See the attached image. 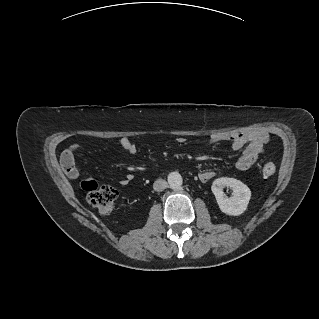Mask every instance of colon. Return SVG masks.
Listing matches in <instances>:
<instances>
[{
	"label": "colon",
	"instance_id": "obj_1",
	"mask_svg": "<svg viewBox=\"0 0 319 319\" xmlns=\"http://www.w3.org/2000/svg\"><path fill=\"white\" fill-rule=\"evenodd\" d=\"M274 172L275 166L272 163L263 166L262 173L265 177L272 176ZM80 186L87 192V202L91 207L105 215L113 212L118 197V191L113 185L98 186L94 180L84 179Z\"/></svg>",
	"mask_w": 319,
	"mask_h": 319
}]
</instances>
